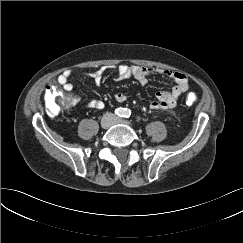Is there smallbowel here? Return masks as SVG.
<instances>
[{"mask_svg":"<svg viewBox=\"0 0 243 243\" xmlns=\"http://www.w3.org/2000/svg\"><path fill=\"white\" fill-rule=\"evenodd\" d=\"M116 73L117 80H125L133 78L140 84L145 85L148 83L149 78L154 74H161L174 82V86L170 91H159L156 93V99L151 102L150 108L153 110H168L177 105V102L182 94L188 91L189 82L185 74L172 70H162L156 68H148L135 65L120 64L113 68ZM104 69H98L87 76L90 77L95 84L100 85L103 80ZM70 72L66 71L62 73L57 80V85L62 86L66 91L73 89V83L70 80ZM115 100L117 102H124L126 95L123 93H116ZM71 105H76L80 101L78 95L72 96ZM104 102L100 99H94L88 102L87 107L91 109H103Z\"/></svg>","mask_w":243,"mask_h":243,"instance_id":"obj_1","label":"small bowel"}]
</instances>
